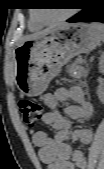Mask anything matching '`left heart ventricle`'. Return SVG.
<instances>
[{"instance_id":"left-heart-ventricle-1","label":"left heart ventricle","mask_w":104,"mask_h":169,"mask_svg":"<svg viewBox=\"0 0 104 169\" xmlns=\"http://www.w3.org/2000/svg\"><path fill=\"white\" fill-rule=\"evenodd\" d=\"M65 11L63 10H56V9H50V10H42L39 11V16L44 20H55L61 17L64 14Z\"/></svg>"}]
</instances>
